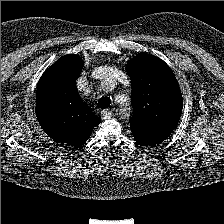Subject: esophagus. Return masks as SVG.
Listing matches in <instances>:
<instances>
[{"instance_id":"obj_1","label":"esophagus","mask_w":224,"mask_h":224,"mask_svg":"<svg viewBox=\"0 0 224 224\" xmlns=\"http://www.w3.org/2000/svg\"><path fill=\"white\" fill-rule=\"evenodd\" d=\"M112 111L109 110V109H104L102 112H101V116L103 119H110L112 117Z\"/></svg>"}]
</instances>
